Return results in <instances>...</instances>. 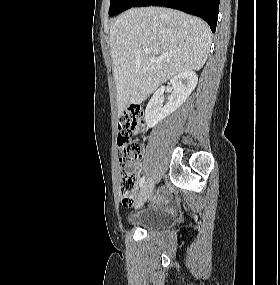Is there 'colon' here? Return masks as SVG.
I'll return each instance as SVG.
<instances>
[{
	"mask_svg": "<svg viewBox=\"0 0 280 285\" xmlns=\"http://www.w3.org/2000/svg\"><path fill=\"white\" fill-rule=\"evenodd\" d=\"M146 125L143 113L130 109L119 120L118 147L120 152V198L124 206H131L136 197L137 178L132 163L142 156V136Z\"/></svg>",
	"mask_w": 280,
	"mask_h": 285,
	"instance_id": "obj_1",
	"label": "colon"
}]
</instances>
